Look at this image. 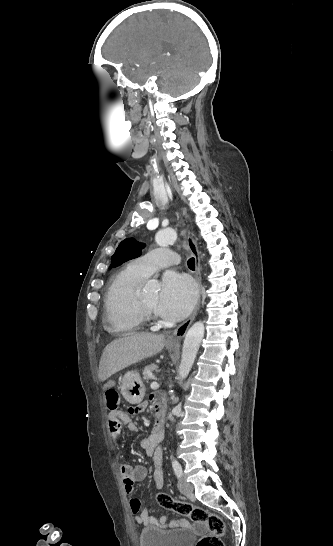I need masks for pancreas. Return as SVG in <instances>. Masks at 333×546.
I'll return each instance as SVG.
<instances>
[{
    "mask_svg": "<svg viewBox=\"0 0 333 546\" xmlns=\"http://www.w3.org/2000/svg\"><path fill=\"white\" fill-rule=\"evenodd\" d=\"M156 371L158 372V367L155 364L148 365L143 370V378L145 380H149L152 376V372Z\"/></svg>",
    "mask_w": 333,
    "mask_h": 546,
    "instance_id": "1",
    "label": "pancreas"
}]
</instances>
